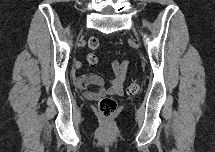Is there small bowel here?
<instances>
[{
    "label": "small bowel",
    "mask_w": 215,
    "mask_h": 152,
    "mask_svg": "<svg viewBox=\"0 0 215 152\" xmlns=\"http://www.w3.org/2000/svg\"><path fill=\"white\" fill-rule=\"evenodd\" d=\"M127 66V61L122 63L113 61L114 77L112 79L106 81L99 75L89 73L77 77L75 79V86L83 91L85 97L89 100H97L105 95H120L123 91ZM92 86L96 87V90L89 89Z\"/></svg>",
    "instance_id": "small-bowel-1"
}]
</instances>
